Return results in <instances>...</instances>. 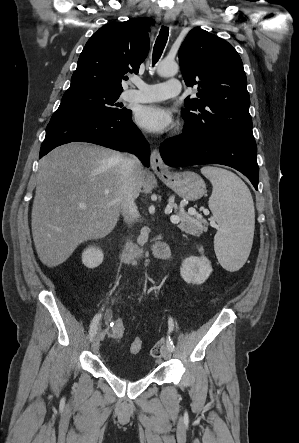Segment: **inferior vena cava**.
Returning a JSON list of instances; mask_svg holds the SVG:
<instances>
[{
  "instance_id": "obj_1",
  "label": "inferior vena cava",
  "mask_w": 299,
  "mask_h": 443,
  "mask_svg": "<svg viewBox=\"0 0 299 443\" xmlns=\"http://www.w3.org/2000/svg\"><path fill=\"white\" fill-rule=\"evenodd\" d=\"M141 167V163L135 156H122L121 190L118 200L124 222L128 225H132L138 215L137 206L134 201V190L136 173Z\"/></svg>"
}]
</instances>
